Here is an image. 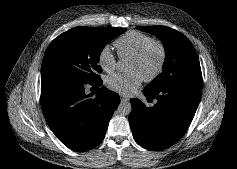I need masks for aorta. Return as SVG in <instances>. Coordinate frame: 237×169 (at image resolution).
<instances>
[{
  "label": "aorta",
  "instance_id": "obj_1",
  "mask_svg": "<svg viewBox=\"0 0 237 169\" xmlns=\"http://www.w3.org/2000/svg\"><path fill=\"white\" fill-rule=\"evenodd\" d=\"M116 69L118 71H124L126 69V64L123 60H119L116 64ZM132 110V106L131 103L129 101H122L118 107H117V112L121 115V116H127L131 113Z\"/></svg>",
  "mask_w": 237,
  "mask_h": 169
}]
</instances>
